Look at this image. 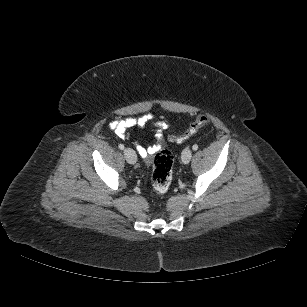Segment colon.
<instances>
[{
	"label": "colon",
	"instance_id": "5ec220e1",
	"mask_svg": "<svg viewBox=\"0 0 307 307\" xmlns=\"http://www.w3.org/2000/svg\"><path fill=\"white\" fill-rule=\"evenodd\" d=\"M210 124V118L207 115L198 116L179 136H173L172 140L182 142L190 138L200 128ZM174 157L168 149L159 150L153 162L152 186L157 193H165L172 182Z\"/></svg>",
	"mask_w": 307,
	"mask_h": 307
}]
</instances>
